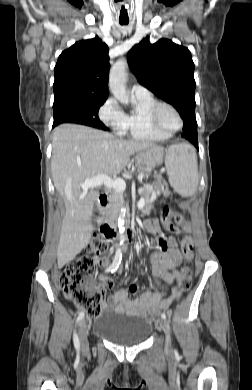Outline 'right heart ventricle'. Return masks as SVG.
<instances>
[{
	"mask_svg": "<svg viewBox=\"0 0 252 390\" xmlns=\"http://www.w3.org/2000/svg\"><path fill=\"white\" fill-rule=\"evenodd\" d=\"M156 103L158 101L152 95L147 97L134 96V108L125 114V131L119 135L142 142H162L169 139L171 135L156 131L149 123V111Z\"/></svg>",
	"mask_w": 252,
	"mask_h": 390,
	"instance_id": "right-heart-ventricle-1",
	"label": "right heart ventricle"
}]
</instances>
